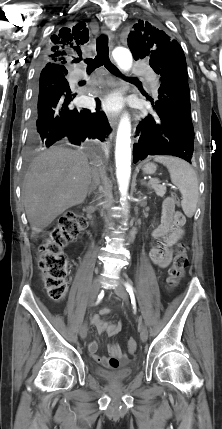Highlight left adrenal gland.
<instances>
[{
	"instance_id": "obj_1",
	"label": "left adrenal gland",
	"mask_w": 222,
	"mask_h": 429,
	"mask_svg": "<svg viewBox=\"0 0 222 429\" xmlns=\"http://www.w3.org/2000/svg\"><path fill=\"white\" fill-rule=\"evenodd\" d=\"M140 182H141V185H146L149 187V185L147 184V182L145 180L142 179Z\"/></svg>"
}]
</instances>
